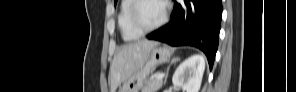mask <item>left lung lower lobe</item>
<instances>
[{"label":"left lung lower lobe","instance_id":"obj_1","mask_svg":"<svg viewBox=\"0 0 296 92\" xmlns=\"http://www.w3.org/2000/svg\"><path fill=\"white\" fill-rule=\"evenodd\" d=\"M173 2L171 21L147 35V38L172 46L197 47L205 53L212 68L218 47L222 16L221 0H173Z\"/></svg>","mask_w":296,"mask_h":92}]
</instances>
